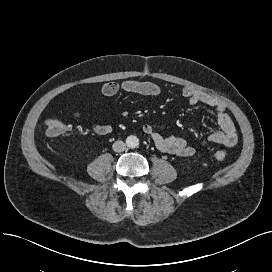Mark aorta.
Masks as SVG:
<instances>
[{
    "label": "aorta",
    "mask_w": 272,
    "mask_h": 272,
    "mask_svg": "<svg viewBox=\"0 0 272 272\" xmlns=\"http://www.w3.org/2000/svg\"><path fill=\"white\" fill-rule=\"evenodd\" d=\"M126 144L129 148H136L139 145V139L134 135H130L126 139Z\"/></svg>",
    "instance_id": "1"
}]
</instances>
